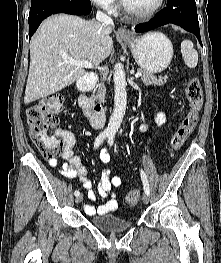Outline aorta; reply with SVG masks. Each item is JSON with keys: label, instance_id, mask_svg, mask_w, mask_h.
Listing matches in <instances>:
<instances>
[{"label": "aorta", "instance_id": "1", "mask_svg": "<svg viewBox=\"0 0 221 263\" xmlns=\"http://www.w3.org/2000/svg\"><path fill=\"white\" fill-rule=\"evenodd\" d=\"M114 109L109 119L106 133L109 135H115L118 131L121 122L123 120L126 105H127V93H126V78L124 68L121 64L116 65L114 75Z\"/></svg>", "mask_w": 221, "mask_h": 263}]
</instances>
